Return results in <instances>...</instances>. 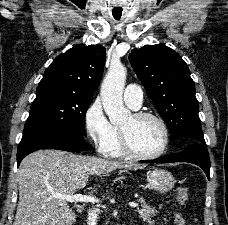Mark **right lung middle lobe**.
<instances>
[{"label": "right lung middle lobe", "mask_w": 228, "mask_h": 225, "mask_svg": "<svg viewBox=\"0 0 228 225\" xmlns=\"http://www.w3.org/2000/svg\"><path fill=\"white\" fill-rule=\"evenodd\" d=\"M92 97L59 86L37 87L26 128L56 126L86 136L84 121Z\"/></svg>", "instance_id": "obj_1"}]
</instances>
